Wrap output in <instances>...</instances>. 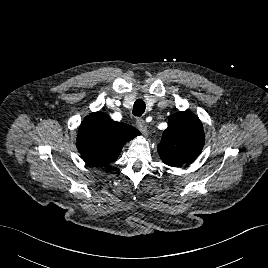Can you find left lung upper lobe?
I'll return each instance as SVG.
<instances>
[{
  "label": "left lung upper lobe",
  "instance_id": "5c2ea615",
  "mask_svg": "<svg viewBox=\"0 0 268 268\" xmlns=\"http://www.w3.org/2000/svg\"><path fill=\"white\" fill-rule=\"evenodd\" d=\"M203 146L201 121L192 112L184 111L169 117L168 128L163 132L157 150L166 165L180 167L193 162Z\"/></svg>",
  "mask_w": 268,
  "mask_h": 268
}]
</instances>
